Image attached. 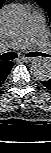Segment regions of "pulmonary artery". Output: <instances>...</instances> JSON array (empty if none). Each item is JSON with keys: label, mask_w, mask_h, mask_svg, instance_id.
Masks as SVG:
<instances>
[{"label": "pulmonary artery", "mask_w": 51, "mask_h": 153, "mask_svg": "<svg viewBox=\"0 0 51 153\" xmlns=\"http://www.w3.org/2000/svg\"><path fill=\"white\" fill-rule=\"evenodd\" d=\"M46 38L45 24L40 14H35L29 30L20 38L9 43L10 49H24L28 47L31 42L42 43ZM46 50V48H44Z\"/></svg>", "instance_id": "pulmonary-artery-1"}]
</instances>
